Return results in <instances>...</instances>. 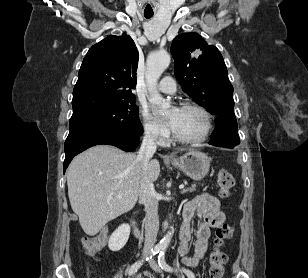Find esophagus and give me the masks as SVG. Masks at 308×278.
I'll use <instances>...</instances> for the list:
<instances>
[{"label": "esophagus", "mask_w": 308, "mask_h": 278, "mask_svg": "<svg viewBox=\"0 0 308 278\" xmlns=\"http://www.w3.org/2000/svg\"><path fill=\"white\" fill-rule=\"evenodd\" d=\"M169 159H172V156H168Z\"/></svg>", "instance_id": "obj_1"}]
</instances>
